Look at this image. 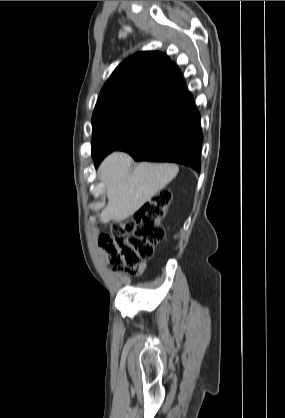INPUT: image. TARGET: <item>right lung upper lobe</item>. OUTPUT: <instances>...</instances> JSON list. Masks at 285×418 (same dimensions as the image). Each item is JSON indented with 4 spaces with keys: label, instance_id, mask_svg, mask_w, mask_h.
<instances>
[{
    "label": "right lung upper lobe",
    "instance_id": "cb5924a9",
    "mask_svg": "<svg viewBox=\"0 0 285 418\" xmlns=\"http://www.w3.org/2000/svg\"><path fill=\"white\" fill-rule=\"evenodd\" d=\"M193 99L181 73L160 52H139L123 61L103 86L94 111L126 101L176 109Z\"/></svg>",
    "mask_w": 285,
    "mask_h": 418
}]
</instances>
